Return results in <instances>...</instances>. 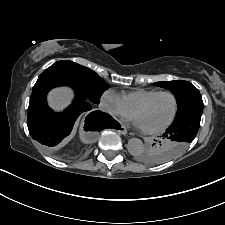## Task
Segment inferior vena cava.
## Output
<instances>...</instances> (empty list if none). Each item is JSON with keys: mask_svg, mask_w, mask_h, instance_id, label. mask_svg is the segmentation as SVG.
Returning <instances> with one entry per match:
<instances>
[{"mask_svg": "<svg viewBox=\"0 0 225 225\" xmlns=\"http://www.w3.org/2000/svg\"><path fill=\"white\" fill-rule=\"evenodd\" d=\"M99 108H100L102 111H105V112H108V113H112L111 108H110L108 105L104 104V103H101V104L99 105Z\"/></svg>", "mask_w": 225, "mask_h": 225, "instance_id": "1", "label": "inferior vena cava"}]
</instances>
